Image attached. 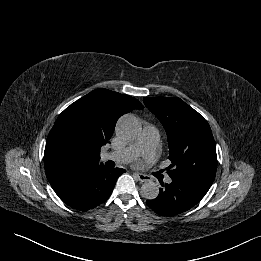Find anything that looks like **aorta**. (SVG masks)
I'll return each mask as SVG.
<instances>
[{
  "label": "aorta",
  "instance_id": "762f6f07",
  "mask_svg": "<svg viewBox=\"0 0 261 261\" xmlns=\"http://www.w3.org/2000/svg\"><path fill=\"white\" fill-rule=\"evenodd\" d=\"M141 131L139 120L133 115H124L117 124V133L124 140H134ZM141 194L144 198L153 200L159 194V186L152 180H148L141 186Z\"/></svg>",
  "mask_w": 261,
  "mask_h": 261
}]
</instances>
